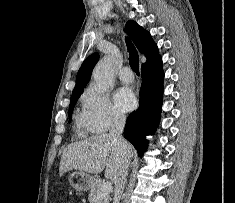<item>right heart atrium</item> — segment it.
<instances>
[{
	"label": "right heart atrium",
	"mask_w": 235,
	"mask_h": 203,
	"mask_svg": "<svg viewBox=\"0 0 235 203\" xmlns=\"http://www.w3.org/2000/svg\"><path fill=\"white\" fill-rule=\"evenodd\" d=\"M82 105L88 129L92 132H106L124 121V115L115 108L108 94L95 86L84 91Z\"/></svg>",
	"instance_id": "obj_1"
}]
</instances>
